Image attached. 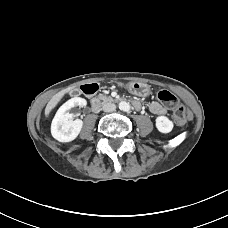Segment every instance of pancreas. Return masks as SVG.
Listing matches in <instances>:
<instances>
[{"instance_id":"obj_1","label":"pancreas","mask_w":228,"mask_h":228,"mask_svg":"<svg viewBox=\"0 0 228 228\" xmlns=\"http://www.w3.org/2000/svg\"><path fill=\"white\" fill-rule=\"evenodd\" d=\"M99 100L103 101V103L113 101V99L110 96H105V95L99 96Z\"/></svg>"}]
</instances>
